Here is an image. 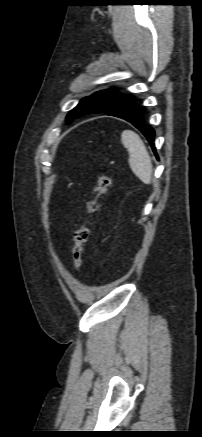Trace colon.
<instances>
[{"label": "colon", "instance_id": "colon-1", "mask_svg": "<svg viewBox=\"0 0 202 437\" xmlns=\"http://www.w3.org/2000/svg\"><path fill=\"white\" fill-rule=\"evenodd\" d=\"M111 177L103 170L98 173V181L94 189V197L88 201L86 213L79 227L74 232V245L72 249V264L75 270H79L82 264V255L85 243L89 237V224L91 216L98 210L99 202L105 196L111 186Z\"/></svg>", "mask_w": 202, "mask_h": 437}]
</instances>
